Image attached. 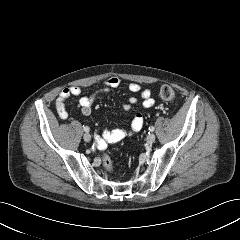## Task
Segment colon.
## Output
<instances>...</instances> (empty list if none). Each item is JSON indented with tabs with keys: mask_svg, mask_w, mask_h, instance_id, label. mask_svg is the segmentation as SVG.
I'll list each match as a JSON object with an SVG mask.
<instances>
[{
	"mask_svg": "<svg viewBox=\"0 0 240 240\" xmlns=\"http://www.w3.org/2000/svg\"><path fill=\"white\" fill-rule=\"evenodd\" d=\"M160 97L165 100V101H173L175 98V92L173 90V88L169 85H163L160 88ZM102 163L103 166L107 169V170H112L113 168V163L112 160L110 158V156L108 154H103L102 155Z\"/></svg>",
	"mask_w": 240,
	"mask_h": 240,
	"instance_id": "1",
	"label": "colon"
}]
</instances>
